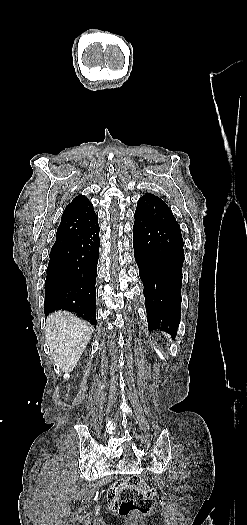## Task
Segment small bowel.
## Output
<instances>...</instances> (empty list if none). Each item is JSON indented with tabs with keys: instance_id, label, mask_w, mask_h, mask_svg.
Returning <instances> with one entry per match:
<instances>
[{
	"instance_id": "1",
	"label": "small bowel",
	"mask_w": 247,
	"mask_h": 525,
	"mask_svg": "<svg viewBox=\"0 0 247 525\" xmlns=\"http://www.w3.org/2000/svg\"><path fill=\"white\" fill-rule=\"evenodd\" d=\"M122 486V483L120 480L115 479L112 481L109 489L107 490V496L106 501L108 502V510L110 513L115 514L119 510V502L117 500V496L119 494V490Z\"/></svg>"
}]
</instances>
